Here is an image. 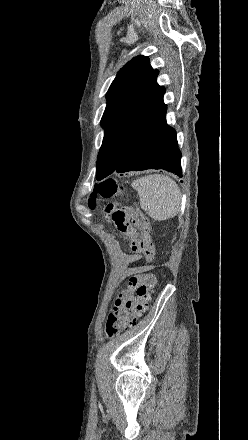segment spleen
<instances>
[{"mask_svg":"<svg viewBox=\"0 0 248 440\" xmlns=\"http://www.w3.org/2000/svg\"><path fill=\"white\" fill-rule=\"evenodd\" d=\"M132 187L140 196V206L156 221L176 216L181 207L180 188L165 175H148L136 179Z\"/></svg>","mask_w":248,"mask_h":440,"instance_id":"3e777b00","label":"spleen"}]
</instances>
